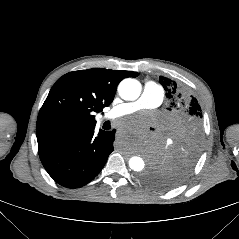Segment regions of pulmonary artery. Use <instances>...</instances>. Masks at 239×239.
Listing matches in <instances>:
<instances>
[{
  "label": "pulmonary artery",
  "instance_id": "e3ab8cb5",
  "mask_svg": "<svg viewBox=\"0 0 239 239\" xmlns=\"http://www.w3.org/2000/svg\"><path fill=\"white\" fill-rule=\"evenodd\" d=\"M164 99L163 88L154 81H147L143 86L141 96L132 102H126L113 107L106 113V119H116L143 109H154L161 105Z\"/></svg>",
  "mask_w": 239,
  "mask_h": 239
}]
</instances>
